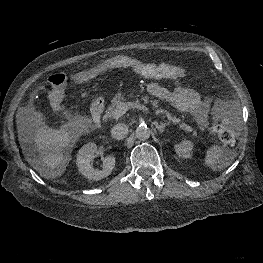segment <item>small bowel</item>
<instances>
[{
    "label": "small bowel",
    "mask_w": 263,
    "mask_h": 263,
    "mask_svg": "<svg viewBox=\"0 0 263 263\" xmlns=\"http://www.w3.org/2000/svg\"><path fill=\"white\" fill-rule=\"evenodd\" d=\"M175 87L168 89L156 82H151L146 86L147 92L153 97L169 103L177 111L181 113L191 114L199 126L206 127L208 125V113L210 104L204 100L200 94L193 88L184 85L178 78H173ZM61 97L58 104L54 103L51 95V103L58 108L62 102Z\"/></svg>",
    "instance_id": "small-bowel-1"
}]
</instances>
